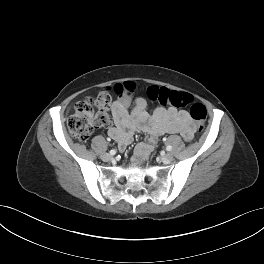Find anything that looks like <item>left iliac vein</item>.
Wrapping results in <instances>:
<instances>
[{
  "mask_svg": "<svg viewBox=\"0 0 264 264\" xmlns=\"http://www.w3.org/2000/svg\"><path fill=\"white\" fill-rule=\"evenodd\" d=\"M173 159H174V156L172 153H166L165 155L161 157L162 162L165 164L172 162Z\"/></svg>",
  "mask_w": 264,
  "mask_h": 264,
  "instance_id": "left-iliac-vein-1",
  "label": "left iliac vein"
}]
</instances>
